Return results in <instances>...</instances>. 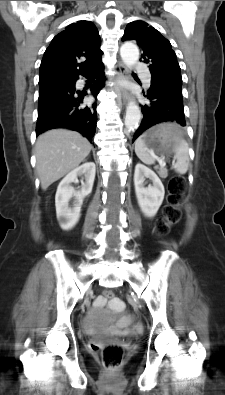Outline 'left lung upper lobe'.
<instances>
[{
	"mask_svg": "<svg viewBox=\"0 0 225 395\" xmlns=\"http://www.w3.org/2000/svg\"><path fill=\"white\" fill-rule=\"evenodd\" d=\"M136 40L142 50L141 58L147 63L152 80L182 84L180 66L170 42L158 30L144 21H133L125 29L122 41Z\"/></svg>",
	"mask_w": 225,
	"mask_h": 395,
	"instance_id": "left-lung-upper-lobe-1",
	"label": "left lung upper lobe"
}]
</instances>
